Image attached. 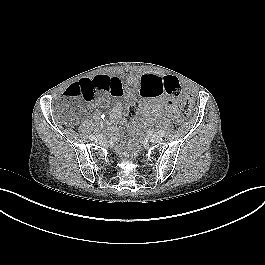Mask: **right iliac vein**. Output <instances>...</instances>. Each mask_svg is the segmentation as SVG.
Returning a JSON list of instances; mask_svg holds the SVG:
<instances>
[{
    "label": "right iliac vein",
    "mask_w": 265,
    "mask_h": 265,
    "mask_svg": "<svg viewBox=\"0 0 265 265\" xmlns=\"http://www.w3.org/2000/svg\"><path fill=\"white\" fill-rule=\"evenodd\" d=\"M103 140L102 136H97L96 137V142H101Z\"/></svg>",
    "instance_id": "63e3f726"
}]
</instances>
